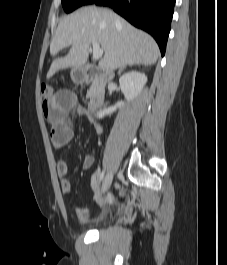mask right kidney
<instances>
[{"label":"right kidney","mask_w":227,"mask_h":265,"mask_svg":"<svg viewBox=\"0 0 227 265\" xmlns=\"http://www.w3.org/2000/svg\"><path fill=\"white\" fill-rule=\"evenodd\" d=\"M147 82V77L144 73L131 71L123 74L119 79V84L121 91L123 92L125 99L131 101L136 98L142 91L144 85ZM124 106V102L120 101L114 106L103 109L98 113L99 118L104 117L105 115H110L115 112L117 108Z\"/></svg>","instance_id":"ca27d5eb"}]
</instances>
